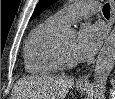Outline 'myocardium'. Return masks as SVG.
Masks as SVG:
<instances>
[{
	"mask_svg": "<svg viewBox=\"0 0 115 99\" xmlns=\"http://www.w3.org/2000/svg\"><path fill=\"white\" fill-rule=\"evenodd\" d=\"M56 57L62 68H74L78 65V61L69 58L61 49L60 45L56 48Z\"/></svg>",
	"mask_w": 115,
	"mask_h": 99,
	"instance_id": "myocardium-1",
	"label": "myocardium"
}]
</instances>
